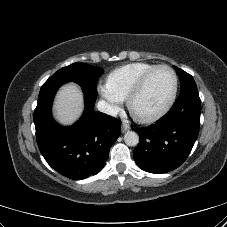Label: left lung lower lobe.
<instances>
[{
	"mask_svg": "<svg viewBox=\"0 0 227 227\" xmlns=\"http://www.w3.org/2000/svg\"><path fill=\"white\" fill-rule=\"evenodd\" d=\"M201 100L197 87L182 92L169 112L147 128H135L139 144L133 157L150 173L161 174L179 167L188 157L200 127Z\"/></svg>",
	"mask_w": 227,
	"mask_h": 227,
	"instance_id": "0a47b994",
	"label": "left lung lower lobe"
}]
</instances>
